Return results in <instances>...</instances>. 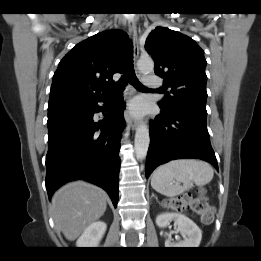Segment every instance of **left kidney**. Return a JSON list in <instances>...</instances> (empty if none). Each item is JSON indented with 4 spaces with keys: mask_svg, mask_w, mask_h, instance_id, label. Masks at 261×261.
<instances>
[{
    "mask_svg": "<svg viewBox=\"0 0 261 261\" xmlns=\"http://www.w3.org/2000/svg\"><path fill=\"white\" fill-rule=\"evenodd\" d=\"M171 220L178 226L177 231L182 233L183 240L177 238L176 241H173L170 238L171 233L167 234L168 238L165 240L166 248H196L199 246L202 232L191 219L183 214L177 212L160 214L156 217V225L164 228Z\"/></svg>",
    "mask_w": 261,
    "mask_h": 261,
    "instance_id": "obj_1",
    "label": "left kidney"
}]
</instances>
